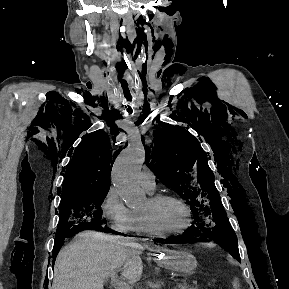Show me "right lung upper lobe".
<instances>
[{"instance_id":"obj_1","label":"right lung upper lobe","mask_w":289,"mask_h":289,"mask_svg":"<svg viewBox=\"0 0 289 289\" xmlns=\"http://www.w3.org/2000/svg\"><path fill=\"white\" fill-rule=\"evenodd\" d=\"M107 134L98 130L82 141L64 175L61 197L93 193L110 188L112 157Z\"/></svg>"}]
</instances>
